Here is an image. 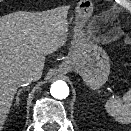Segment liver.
Masks as SVG:
<instances>
[{"instance_id":"liver-1","label":"liver","mask_w":131,"mask_h":131,"mask_svg":"<svg viewBox=\"0 0 131 131\" xmlns=\"http://www.w3.org/2000/svg\"><path fill=\"white\" fill-rule=\"evenodd\" d=\"M70 28L67 7L44 13L19 12L0 18V131L20 78L33 72L39 79L45 56L66 45ZM85 42L77 29L72 58L82 56L87 48Z\"/></svg>"}]
</instances>
